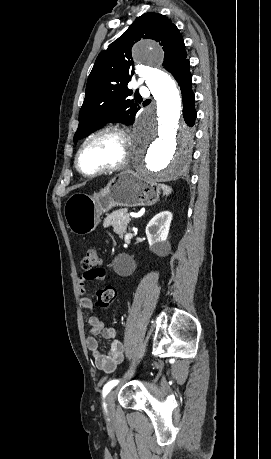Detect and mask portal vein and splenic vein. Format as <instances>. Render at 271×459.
<instances>
[{"instance_id": "1", "label": "portal vein and splenic vein", "mask_w": 271, "mask_h": 459, "mask_svg": "<svg viewBox=\"0 0 271 459\" xmlns=\"http://www.w3.org/2000/svg\"><path fill=\"white\" fill-rule=\"evenodd\" d=\"M127 217H131V214L129 212L125 213Z\"/></svg>"}]
</instances>
